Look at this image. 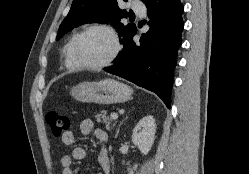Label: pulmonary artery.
<instances>
[{
	"label": "pulmonary artery",
	"instance_id": "pulmonary-artery-1",
	"mask_svg": "<svg viewBox=\"0 0 249 174\" xmlns=\"http://www.w3.org/2000/svg\"><path fill=\"white\" fill-rule=\"evenodd\" d=\"M132 9L133 12L139 16H144L147 12L145 5L140 2H133Z\"/></svg>",
	"mask_w": 249,
	"mask_h": 174
}]
</instances>
